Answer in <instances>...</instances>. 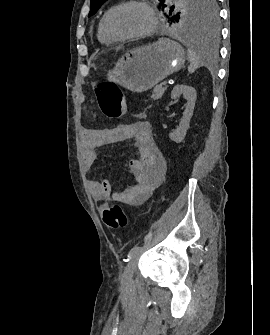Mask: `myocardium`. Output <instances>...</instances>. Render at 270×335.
Here are the masks:
<instances>
[{
  "instance_id": "myocardium-1",
  "label": "myocardium",
  "mask_w": 270,
  "mask_h": 335,
  "mask_svg": "<svg viewBox=\"0 0 270 335\" xmlns=\"http://www.w3.org/2000/svg\"><path fill=\"white\" fill-rule=\"evenodd\" d=\"M128 4H138L140 5L145 12L148 14V16L150 17L151 20V24L149 26V28L141 33H137V34H124L121 33L119 31H117L114 26H113V17L114 15L125 5ZM158 25V18L155 14V12L146 4L141 3V2H137L135 0H130V1H126V2H121L118 5H116L114 8L111 9V11L108 13L107 18H106V29L109 32L110 35H112L113 37L117 38V39H121V40H139L142 38H145L147 36H150L156 29ZM140 49H135L131 52H140Z\"/></svg>"
}]
</instances>
